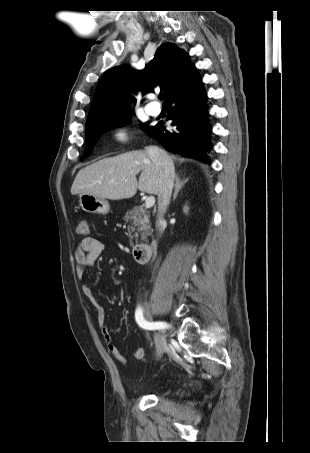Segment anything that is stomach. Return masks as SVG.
<instances>
[{"instance_id": "obj_1", "label": "stomach", "mask_w": 310, "mask_h": 453, "mask_svg": "<svg viewBox=\"0 0 310 453\" xmlns=\"http://www.w3.org/2000/svg\"><path fill=\"white\" fill-rule=\"evenodd\" d=\"M79 203L81 208L88 213L105 215L110 211L108 201L94 195L80 194Z\"/></svg>"}]
</instances>
